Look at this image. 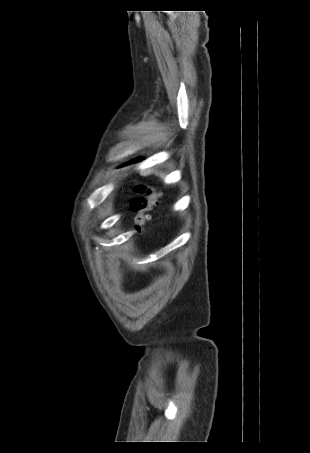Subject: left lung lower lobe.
I'll return each instance as SVG.
<instances>
[{"instance_id":"1","label":"left lung lower lobe","mask_w":310,"mask_h":453,"mask_svg":"<svg viewBox=\"0 0 310 453\" xmlns=\"http://www.w3.org/2000/svg\"><path fill=\"white\" fill-rule=\"evenodd\" d=\"M137 161H139V160H135V161H133V162H137Z\"/></svg>"}]
</instances>
